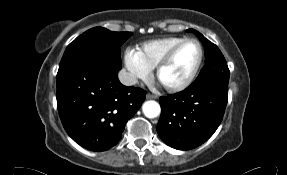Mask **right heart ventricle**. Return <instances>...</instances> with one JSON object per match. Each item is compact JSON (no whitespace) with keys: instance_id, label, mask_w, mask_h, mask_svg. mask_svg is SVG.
Masks as SVG:
<instances>
[{"instance_id":"right-heart-ventricle-1","label":"right heart ventricle","mask_w":287,"mask_h":175,"mask_svg":"<svg viewBox=\"0 0 287 175\" xmlns=\"http://www.w3.org/2000/svg\"><path fill=\"white\" fill-rule=\"evenodd\" d=\"M182 37H165L154 39L140 44L137 53L141 61L149 68L155 69L158 63L176 44L183 41Z\"/></svg>"}]
</instances>
